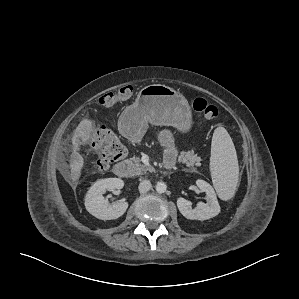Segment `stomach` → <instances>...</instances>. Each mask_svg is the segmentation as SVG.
Segmentation results:
<instances>
[{"mask_svg":"<svg viewBox=\"0 0 299 299\" xmlns=\"http://www.w3.org/2000/svg\"><path fill=\"white\" fill-rule=\"evenodd\" d=\"M120 123L124 133L132 138L144 134L148 123L173 126L187 133L192 125V112L183 94L169 86L153 84L139 91L135 102L123 111Z\"/></svg>","mask_w":299,"mask_h":299,"instance_id":"0dacf381","label":"stomach"}]
</instances>
